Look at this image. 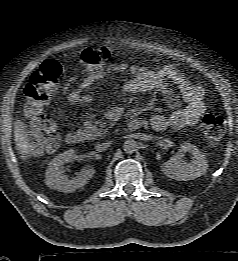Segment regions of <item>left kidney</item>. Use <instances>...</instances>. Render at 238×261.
<instances>
[{"instance_id":"5707ae66","label":"left kidney","mask_w":238,"mask_h":261,"mask_svg":"<svg viewBox=\"0 0 238 261\" xmlns=\"http://www.w3.org/2000/svg\"><path fill=\"white\" fill-rule=\"evenodd\" d=\"M189 152L193 160L186 163L182 160L183 153ZM208 169V162L197 147L185 142L180 146V151L167 162L162 164L161 171L168 177L178 181H188L205 174Z\"/></svg>"}]
</instances>
